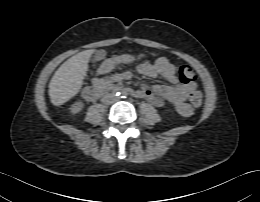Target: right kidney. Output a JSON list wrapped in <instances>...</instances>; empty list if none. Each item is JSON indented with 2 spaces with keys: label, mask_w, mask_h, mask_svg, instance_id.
<instances>
[{
  "label": "right kidney",
  "mask_w": 260,
  "mask_h": 202,
  "mask_svg": "<svg viewBox=\"0 0 260 202\" xmlns=\"http://www.w3.org/2000/svg\"><path fill=\"white\" fill-rule=\"evenodd\" d=\"M84 108V103L79 101V102H76L74 103L71 108H70V112L72 114H77L79 113L80 111H82V109Z\"/></svg>",
  "instance_id": "right-kidney-1"
}]
</instances>
